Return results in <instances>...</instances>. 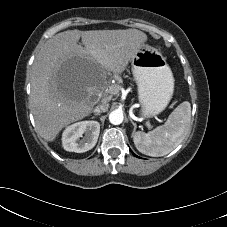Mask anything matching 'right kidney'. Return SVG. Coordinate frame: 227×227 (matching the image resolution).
<instances>
[{
  "instance_id": "right-kidney-1",
  "label": "right kidney",
  "mask_w": 227,
  "mask_h": 227,
  "mask_svg": "<svg viewBox=\"0 0 227 227\" xmlns=\"http://www.w3.org/2000/svg\"><path fill=\"white\" fill-rule=\"evenodd\" d=\"M100 124L97 121H81L68 126L62 134L66 151L83 153L92 149L98 140ZM83 134L84 137H83ZM83 137L82 139H80Z\"/></svg>"
}]
</instances>
